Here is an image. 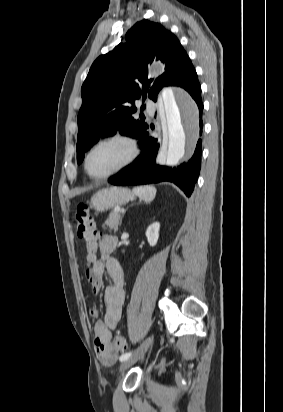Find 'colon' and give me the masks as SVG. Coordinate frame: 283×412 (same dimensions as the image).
<instances>
[{"mask_svg": "<svg viewBox=\"0 0 283 412\" xmlns=\"http://www.w3.org/2000/svg\"><path fill=\"white\" fill-rule=\"evenodd\" d=\"M73 221L76 235L84 242L86 249L89 252L96 251L98 247L97 234L89 207L85 204L78 205L73 215ZM126 349L127 343L124 337L116 335L111 341L110 346L104 350V353L109 355Z\"/></svg>", "mask_w": 283, "mask_h": 412, "instance_id": "5ec220e1", "label": "colon"}]
</instances>
